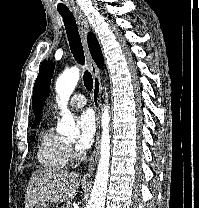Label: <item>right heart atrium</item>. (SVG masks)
Wrapping results in <instances>:
<instances>
[{"instance_id":"right-heart-atrium-1","label":"right heart atrium","mask_w":199,"mask_h":208,"mask_svg":"<svg viewBox=\"0 0 199 208\" xmlns=\"http://www.w3.org/2000/svg\"><path fill=\"white\" fill-rule=\"evenodd\" d=\"M70 154L73 156L74 155V151L72 149H70Z\"/></svg>"}]
</instances>
